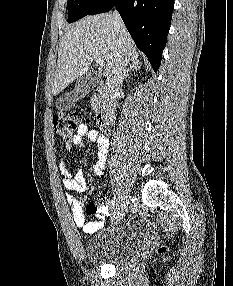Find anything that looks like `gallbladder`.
Returning a JSON list of instances; mask_svg holds the SVG:
<instances>
[{
    "instance_id": "bac80fb5",
    "label": "gallbladder",
    "mask_w": 233,
    "mask_h": 286,
    "mask_svg": "<svg viewBox=\"0 0 233 286\" xmlns=\"http://www.w3.org/2000/svg\"><path fill=\"white\" fill-rule=\"evenodd\" d=\"M96 84V75L92 72L85 73L76 80L73 90L62 94L57 99L56 107L61 111L71 109L75 103L87 95Z\"/></svg>"
}]
</instances>
